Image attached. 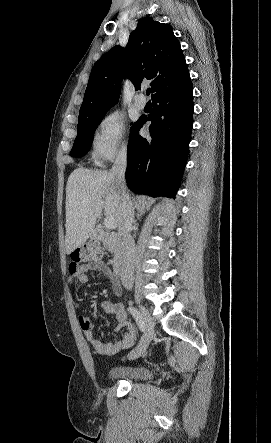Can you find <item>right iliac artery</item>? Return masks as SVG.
Here are the masks:
<instances>
[{
	"label": "right iliac artery",
	"instance_id": "82829eb1",
	"mask_svg": "<svg viewBox=\"0 0 271 443\" xmlns=\"http://www.w3.org/2000/svg\"><path fill=\"white\" fill-rule=\"evenodd\" d=\"M128 311L132 314V316L134 317L137 326L139 327L141 332H145L146 331V325L143 321L142 316L140 315V313L133 307H129Z\"/></svg>",
	"mask_w": 271,
	"mask_h": 443
}]
</instances>
